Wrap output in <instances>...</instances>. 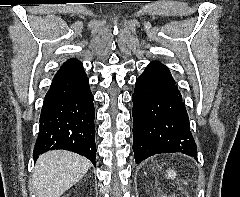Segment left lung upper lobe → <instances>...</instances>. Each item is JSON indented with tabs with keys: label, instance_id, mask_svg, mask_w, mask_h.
Here are the masks:
<instances>
[{
	"label": "left lung upper lobe",
	"instance_id": "left-lung-upper-lobe-1",
	"mask_svg": "<svg viewBox=\"0 0 240 197\" xmlns=\"http://www.w3.org/2000/svg\"><path fill=\"white\" fill-rule=\"evenodd\" d=\"M150 67H157V68H162V69H166L167 67L164 66L163 64H161L160 62L154 61L152 63L149 64Z\"/></svg>",
	"mask_w": 240,
	"mask_h": 197
}]
</instances>
